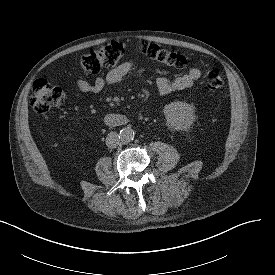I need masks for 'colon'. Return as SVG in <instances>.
Returning <instances> with one entry per match:
<instances>
[{"label": "colon", "instance_id": "5ec220e1", "mask_svg": "<svg viewBox=\"0 0 275 275\" xmlns=\"http://www.w3.org/2000/svg\"><path fill=\"white\" fill-rule=\"evenodd\" d=\"M139 52L150 59L173 68H185L186 57L178 51L156 44L143 43ZM124 56V48L119 43L107 44L98 50L84 54L79 59L81 68L92 74L116 66ZM205 85L212 92L221 91L225 85L223 76L216 70H210L205 77ZM65 100L62 89L51 85L46 80L38 79L33 85L31 107L37 114H46L51 108L60 106Z\"/></svg>", "mask_w": 275, "mask_h": 275}]
</instances>
